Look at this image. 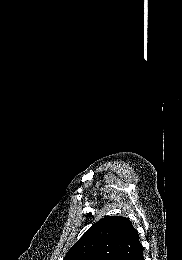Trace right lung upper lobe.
<instances>
[{"instance_id": "obj_1", "label": "right lung upper lobe", "mask_w": 182, "mask_h": 260, "mask_svg": "<svg viewBox=\"0 0 182 260\" xmlns=\"http://www.w3.org/2000/svg\"><path fill=\"white\" fill-rule=\"evenodd\" d=\"M142 250L139 234L128 218L106 216L83 234L64 260H132Z\"/></svg>"}]
</instances>
